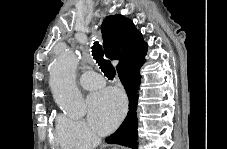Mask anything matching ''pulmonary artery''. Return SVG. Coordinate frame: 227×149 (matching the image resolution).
<instances>
[{
  "mask_svg": "<svg viewBox=\"0 0 227 149\" xmlns=\"http://www.w3.org/2000/svg\"><path fill=\"white\" fill-rule=\"evenodd\" d=\"M80 85L87 90H96L104 86L105 81L101 75L93 71H86L80 76Z\"/></svg>",
  "mask_w": 227,
  "mask_h": 149,
  "instance_id": "obj_1",
  "label": "pulmonary artery"
}]
</instances>
